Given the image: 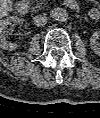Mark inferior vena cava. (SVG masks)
I'll list each match as a JSON object with an SVG mask.
<instances>
[{
	"mask_svg": "<svg viewBox=\"0 0 100 118\" xmlns=\"http://www.w3.org/2000/svg\"><path fill=\"white\" fill-rule=\"evenodd\" d=\"M48 21L45 15H37L34 17V24L38 27L44 26Z\"/></svg>",
	"mask_w": 100,
	"mask_h": 118,
	"instance_id": "obj_1",
	"label": "inferior vena cava"
}]
</instances>
